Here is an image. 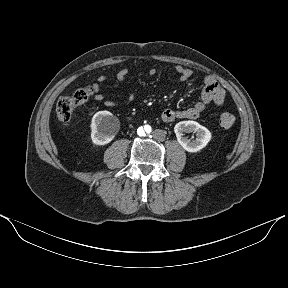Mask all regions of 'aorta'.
<instances>
[{"label":"aorta","instance_id":"1","mask_svg":"<svg viewBox=\"0 0 288 288\" xmlns=\"http://www.w3.org/2000/svg\"><path fill=\"white\" fill-rule=\"evenodd\" d=\"M153 128L149 124L140 125L136 129V134L140 138H145L151 136Z\"/></svg>","mask_w":288,"mask_h":288}]
</instances>
